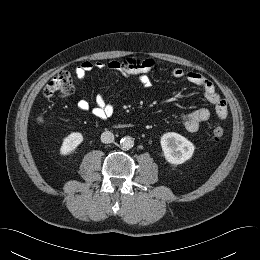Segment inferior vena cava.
Here are the masks:
<instances>
[{"instance_id":"obj_1","label":"inferior vena cava","mask_w":260,"mask_h":260,"mask_svg":"<svg viewBox=\"0 0 260 260\" xmlns=\"http://www.w3.org/2000/svg\"><path fill=\"white\" fill-rule=\"evenodd\" d=\"M101 141L103 143H112L114 141V135L110 131H105L101 134Z\"/></svg>"}]
</instances>
